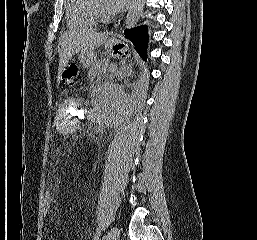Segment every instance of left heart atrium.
<instances>
[{
	"label": "left heart atrium",
	"mask_w": 257,
	"mask_h": 240,
	"mask_svg": "<svg viewBox=\"0 0 257 240\" xmlns=\"http://www.w3.org/2000/svg\"><path fill=\"white\" fill-rule=\"evenodd\" d=\"M128 2L129 0H107L110 9L115 11L123 9L128 4Z\"/></svg>",
	"instance_id": "1"
}]
</instances>
